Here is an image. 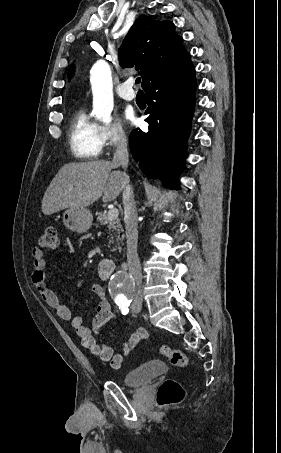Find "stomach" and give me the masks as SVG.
Wrapping results in <instances>:
<instances>
[{"mask_svg": "<svg viewBox=\"0 0 281 453\" xmlns=\"http://www.w3.org/2000/svg\"><path fill=\"white\" fill-rule=\"evenodd\" d=\"M62 218L65 227L74 233H87L93 220V216L86 206L67 208L62 214Z\"/></svg>", "mask_w": 281, "mask_h": 453, "instance_id": "0dacf381", "label": "stomach"}]
</instances>
